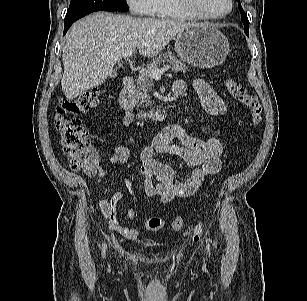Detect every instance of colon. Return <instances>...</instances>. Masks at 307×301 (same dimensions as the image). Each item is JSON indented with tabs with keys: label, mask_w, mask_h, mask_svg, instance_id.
<instances>
[{
	"label": "colon",
	"mask_w": 307,
	"mask_h": 301,
	"mask_svg": "<svg viewBox=\"0 0 307 301\" xmlns=\"http://www.w3.org/2000/svg\"><path fill=\"white\" fill-rule=\"evenodd\" d=\"M225 87L231 97L244 105L250 113L253 126H258L262 121V105L258 98L249 94L246 88L235 79H227ZM99 90L92 88L79 94L74 99L62 100L55 115V126L60 135L64 153L70 159V167L73 171L94 175L97 171L99 153L90 145L87 129L83 126L79 115L95 109L99 103ZM182 217H175L169 222L158 217L146 220L145 227L151 231H159L169 228L172 231H180L183 227ZM197 233L201 228H197Z\"/></svg>",
	"instance_id": "5ec220e1"
}]
</instances>
